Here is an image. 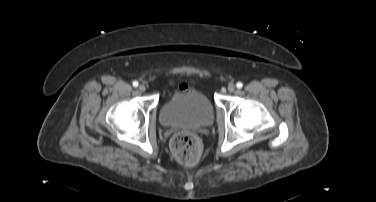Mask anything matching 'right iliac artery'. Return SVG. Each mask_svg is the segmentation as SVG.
<instances>
[{"instance_id": "82829eb1", "label": "right iliac artery", "mask_w": 376, "mask_h": 202, "mask_svg": "<svg viewBox=\"0 0 376 202\" xmlns=\"http://www.w3.org/2000/svg\"><path fill=\"white\" fill-rule=\"evenodd\" d=\"M138 85H139V83H138L137 81H134V82H133V86H134V87H137Z\"/></svg>"}]
</instances>
